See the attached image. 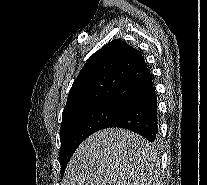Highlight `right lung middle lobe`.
<instances>
[{
  "mask_svg": "<svg viewBox=\"0 0 207 185\" xmlns=\"http://www.w3.org/2000/svg\"><path fill=\"white\" fill-rule=\"evenodd\" d=\"M122 108L100 105L76 112L64 119L60 128L61 175L80 143L94 132L106 128Z\"/></svg>",
  "mask_w": 207,
  "mask_h": 185,
  "instance_id": "right-lung-middle-lobe-1",
  "label": "right lung middle lobe"
}]
</instances>
